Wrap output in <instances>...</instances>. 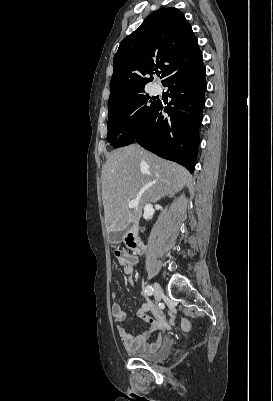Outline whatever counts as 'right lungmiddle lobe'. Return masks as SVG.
<instances>
[{
    "mask_svg": "<svg viewBox=\"0 0 273 401\" xmlns=\"http://www.w3.org/2000/svg\"><path fill=\"white\" fill-rule=\"evenodd\" d=\"M158 103L142 92L108 107L107 141L114 147L131 144L140 128L152 118Z\"/></svg>",
    "mask_w": 273,
    "mask_h": 401,
    "instance_id": "obj_1",
    "label": "right lung middle lobe"
}]
</instances>
